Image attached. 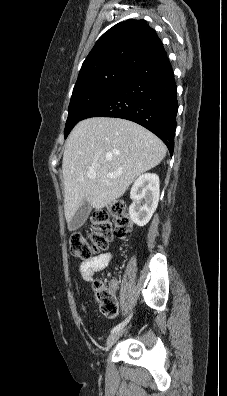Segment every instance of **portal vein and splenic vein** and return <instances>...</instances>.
<instances>
[{
  "mask_svg": "<svg viewBox=\"0 0 227 396\" xmlns=\"http://www.w3.org/2000/svg\"><path fill=\"white\" fill-rule=\"evenodd\" d=\"M87 176H88L89 178H95V177H96V173H95L94 171H89V172L87 173ZM107 176L110 177V178L114 177L113 174H108Z\"/></svg>",
  "mask_w": 227,
  "mask_h": 396,
  "instance_id": "portal-vein-and-splenic-vein-1",
  "label": "portal vein and splenic vein"
}]
</instances>
